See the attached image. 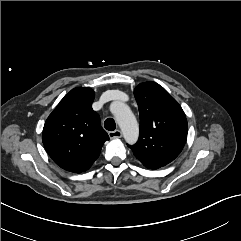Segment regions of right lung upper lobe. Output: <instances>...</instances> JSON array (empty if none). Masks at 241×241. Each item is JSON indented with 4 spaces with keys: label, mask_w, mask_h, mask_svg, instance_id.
I'll return each instance as SVG.
<instances>
[{
    "label": "right lung upper lobe",
    "mask_w": 241,
    "mask_h": 241,
    "mask_svg": "<svg viewBox=\"0 0 241 241\" xmlns=\"http://www.w3.org/2000/svg\"><path fill=\"white\" fill-rule=\"evenodd\" d=\"M95 93L90 88H74L47 118L43 144L52 160L62 169L81 173L99 157L109 139L93 111Z\"/></svg>",
    "instance_id": "1"
}]
</instances>
